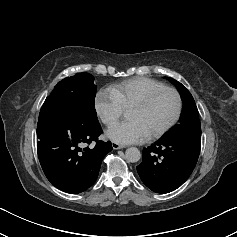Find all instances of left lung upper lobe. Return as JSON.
Wrapping results in <instances>:
<instances>
[{"label":"left lung upper lobe","mask_w":237,"mask_h":237,"mask_svg":"<svg viewBox=\"0 0 237 237\" xmlns=\"http://www.w3.org/2000/svg\"><path fill=\"white\" fill-rule=\"evenodd\" d=\"M167 79L178 89L183 102V110L179 123L164 138L172 139L192 135L201 136L198 110L191 93L180 82L170 77H167Z\"/></svg>","instance_id":"1"}]
</instances>
